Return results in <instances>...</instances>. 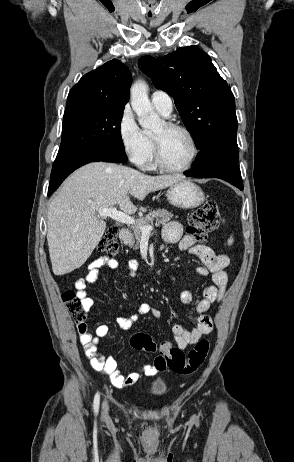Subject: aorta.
I'll return each instance as SVG.
<instances>
[{"label":"aorta","mask_w":294,"mask_h":462,"mask_svg":"<svg viewBox=\"0 0 294 462\" xmlns=\"http://www.w3.org/2000/svg\"><path fill=\"white\" fill-rule=\"evenodd\" d=\"M131 106L138 117L139 124L148 130H157L161 125L159 116L154 112L148 98V85L138 80L130 90Z\"/></svg>","instance_id":"aorta-1"}]
</instances>
